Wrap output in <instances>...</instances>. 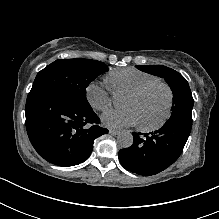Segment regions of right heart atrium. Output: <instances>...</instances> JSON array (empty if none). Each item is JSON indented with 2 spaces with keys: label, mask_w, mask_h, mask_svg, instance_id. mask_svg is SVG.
Here are the masks:
<instances>
[{
  "label": "right heart atrium",
  "mask_w": 219,
  "mask_h": 219,
  "mask_svg": "<svg viewBox=\"0 0 219 219\" xmlns=\"http://www.w3.org/2000/svg\"><path fill=\"white\" fill-rule=\"evenodd\" d=\"M85 97L90 106L97 111H107L113 105V93L106 81L90 82L85 88Z\"/></svg>",
  "instance_id": "d8ad5b80"
}]
</instances>
